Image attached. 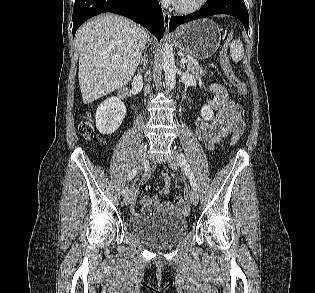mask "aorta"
Returning a JSON list of instances; mask_svg holds the SVG:
<instances>
[{
	"mask_svg": "<svg viewBox=\"0 0 315 293\" xmlns=\"http://www.w3.org/2000/svg\"><path fill=\"white\" fill-rule=\"evenodd\" d=\"M162 59L166 86L168 90H172L176 84V65L168 43H164Z\"/></svg>",
	"mask_w": 315,
	"mask_h": 293,
	"instance_id": "762f6f07",
	"label": "aorta"
}]
</instances>
